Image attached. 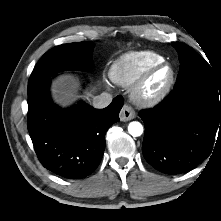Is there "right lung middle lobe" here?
Here are the masks:
<instances>
[{
	"mask_svg": "<svg viewBox=\"0 0 221 221\" xmlns=\"http://www.w3.org/2000/svg\"><path fill=\"white\" fill-rule=\"evenodd\" d=\"M94 46L92 42H79L59 45L49 50L35 66L28 82V91L58 72L88 69Z\"/></svg>",
	"mask_w": 221,
	"mask_h": 221,
	"instance_id": "1",
	"label": "right lung middle lobe"
}]
</instances>
